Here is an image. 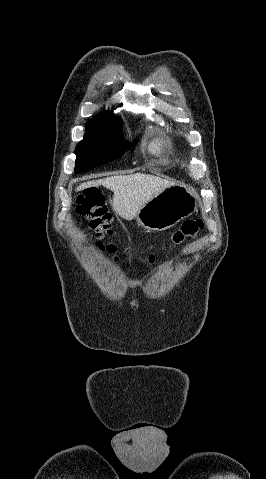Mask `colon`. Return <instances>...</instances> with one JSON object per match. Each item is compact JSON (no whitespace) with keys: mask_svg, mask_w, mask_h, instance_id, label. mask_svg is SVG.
<instances>
[{"mask_svg":"<svg viewBox=\"0 0 266 479\" xmlns=\"http://www.w3.org/2000/svg\"><path fill=\"white\" fill-rule=\"evenodd\" d=\"M76 209L78 214L89 219L88 227L98 238H106L113 234L112 216L105 204L103 195L98 189L90 188L78 194L76 198ZM201 219L185 221L171 237L169 250L183 245L189 239L195 238L203 228ZM100 248H105L101 242L96 243ZM110 252L115 250L113 245H107ZM148 260L155 262V256L149 255Z\"/></svg>","mask_w":266,"mask_h":479,"instance_id":"5ec220e1","label":"colon"}]
</instances>
